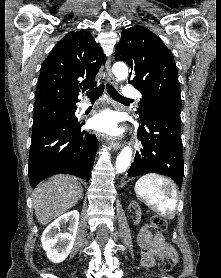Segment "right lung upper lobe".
<instances>
[{
  "mask_svg": "<svg viewBox=\"0 0 221 278\" xmlns=\"http://www.w3.org/2000/svg\"><path fill=\"white\" fill-rule=\"evenodd\" d=\"M106 56L87 30L66 34L41 66L35 104L78 102L79 93L96 85L95 76Z\"/></svg>",
  "mask_w": 221,
  "mask_h": 278,
  "instance_id": "cb5924a9",
  "label": "right lung upper lobe"
}]
</instances>
